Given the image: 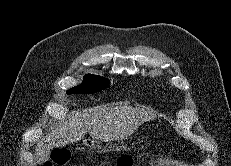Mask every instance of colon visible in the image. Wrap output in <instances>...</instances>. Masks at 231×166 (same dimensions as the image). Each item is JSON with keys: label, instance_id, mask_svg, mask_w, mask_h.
Wrapping results in <instances>:
<instances>
[{"label": "colon", "instance_id": "obj_1", "mask_svg": "<svg viewBox=\"0 0 231 166\" xmlns=\"http://www.w3.org/2000/svg\"><path fill=\"white\" fill-rule=\"evenodd\" d=\"M70 160V153L66 149L54 150L51 154V161L44 166H64ZM116 166H132V159L129 156H121L116 163Z\"/></svg>", "mask_w": 231, "mask_h": 166}]
</instances>
